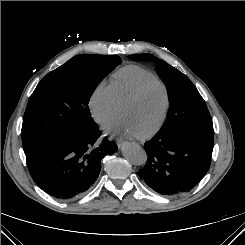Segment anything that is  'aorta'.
I'll list each match as a JSON object with an SVG mask.
<instances>
[{"instance_id":"aorta-1","label":"aorta","mask_w":245,"mask_h":245,"mask_svg":"<svg viewBox=\"0 0 245 245\" xmlns=\"http://www.w3.org/2000/svg\"><path fill=\"white\" fill-rule=\"evenodd\" d=\"M122 154L131 164L141 166L147 161L146 151L138 144L127 142L122 147Z\"/></svg>"}]
</instances>
